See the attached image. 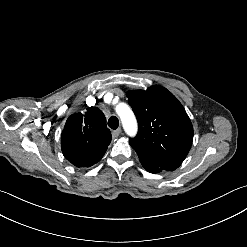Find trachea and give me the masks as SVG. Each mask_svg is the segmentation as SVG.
Here are the masks:
<instances>
[{"instance_id":"trachea-1","label":"trachea","mask_w":247,"mask_h":247,"mask_svg":"<svg viewBox=\"0 0 247 247\" xmlns=\"http://www.w3.org/2000/svg\"><path fill=\"white\" fill-rule=\"evenodd\" d=\"M108 126L111 128V129H117L118 126H119V120L117 117L115 116H111L108 120Z\"/></svg>"}]
</instances>
